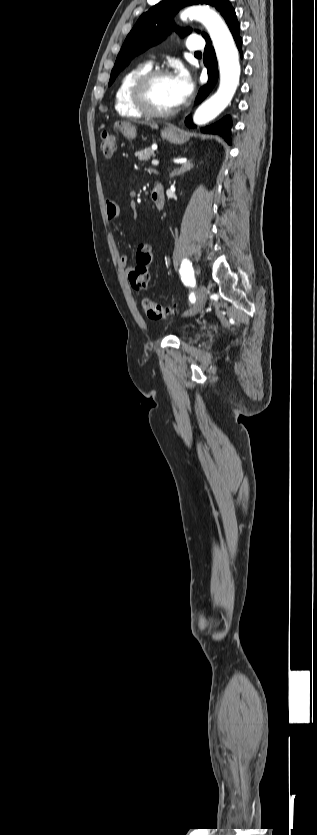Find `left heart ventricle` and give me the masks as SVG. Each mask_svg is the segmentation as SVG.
Returning a JSON list of instances; mask_svg holds the SVG:
<instances>
[{"mask_svg":"<svg viewBox=\"0 0 317 835\" xmlns=\"http://www.w3.org/2000/svg\"><path fill=\"white\" fill-rule=\"evenodd\" d=\"M150 97L154 106L159 110H168L177 106L172 87V77L156 80L151 89Z\"/></svg>","mask_w":317,"mask_h":835,"instance_id":"left-heart-ventricle-1","label":"left heart ventricle"}]
</instances>
